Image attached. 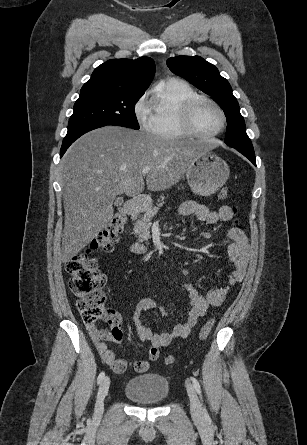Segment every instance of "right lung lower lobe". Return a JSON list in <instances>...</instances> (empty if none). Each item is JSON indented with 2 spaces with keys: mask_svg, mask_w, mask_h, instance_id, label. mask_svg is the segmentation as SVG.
Wrapping results in <instances>:
<instances>
[{
  "mask_svg": "<svg viewBox=\"0 0 307 445\" xmlns=\"http://www.w3.org/2000/svg\"><path fill=\"white\" fill-rule=\"evenodd\" d=\"M99 127H103L102 125H91V126H86L80 129H77L75 131L72 132H68L67 135L65 136L63 143H62V147L60 150V157L63 156V154L66 152V150L68 149V147L76 140L78 139L81 135L99 128Z\"/></svg>",
  "mask_w": 307,
  "mask_h": 445,
  "instance_id": "1",
  "label": "right lung lower lobe"
}]
</instances>
